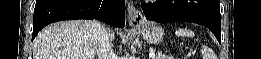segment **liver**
<instances>
[{
	"mask_svg": "<svg viewBox=\"0 0 261 59\" xmlns=\"http://www.w3.org/2000/svg\"><path fill=\"white\" fill-rule=\"evenodd\" d=\"M108 32L113 40L114 32ZM96 53L93 21L74 20L44 28L35 39L33 59H94Z\"/></svg>",
	"mask_w": 261,
	"mask_h": 59,
	"instance_id": "1",
	"label": "liver"
}]
</instances>
